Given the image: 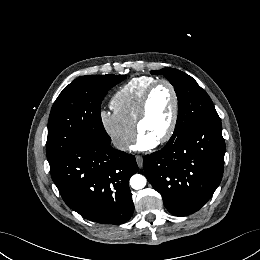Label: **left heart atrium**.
<instances>
[{
  "label": "left heart atrium",
  "mask_w": 260,
  "mask_h": 260,
  "mask_svg": "<svg viewBox=\"0 0 260 260\" xmlns=\"http://www.w3.org/2000/svg\"><path fill=\"white\" fill-rule=\"evenodd\" d=\"M157 141L151 137L144 134H140L137 138L136 149L138 150H149L156 146Z\"/></svg>",
  "instance_id": "39dd6f15"
}]
</instances>
